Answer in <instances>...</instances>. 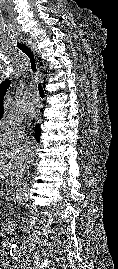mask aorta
I'll return each mask as SVG.
<instances>
[{
    "instance_id": "aorta-1",
    "label": "aorta",
    "mask_w": 118,
    "mask_h": 269,
    "mask_svg": "<svg viewBox=\"0 0 118 269\" xmlns=\"http://www.w3.org/2000/svg\"><path fill=\"white\" fill-rule=\"evenodd\" d=\"M27 198H28V195H27V191L25 190V188L18 187L15 189L14 194H13V199H14V202L18 206L24 205ZM10 249H11V252H17L18 251L17 244L12 243Z\"/></svg>"
}]
</instances>
